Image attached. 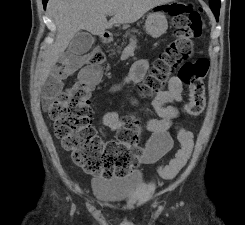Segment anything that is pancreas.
I'll list each match as a JSON object with an SVG mask.
<instances>
[{"instance_id":"obj_1","label":"pancreas","mask_w":245,"mask_h":225,"mask_svg":"<svg viewBox=\"0 0 245 225\" xmlns=\"http://www.w3.org/2000/svg\"><path fill=\"white\" fill-rule=\"evenodd\" d=\"M129 35V33H126V35L124 37H127ZM125 42L122 43V46H124ZM121 50V47H118V51Z\"/></svg>"}]
</instances>
